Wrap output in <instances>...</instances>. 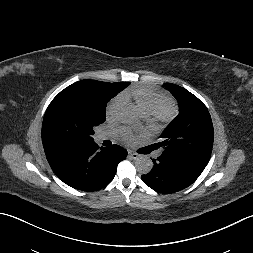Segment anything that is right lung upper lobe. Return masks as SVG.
I'll return each instance as SVG.
<instances>
[{"mask_svg": "<svg viewBox=\"0 0 253 253\" xmlns=\"http://www.w3.org/2000/svg\"><path fill=\"white\" fill-rule=\"evenodd\" d=\"M48 149V147H44V150Z\"/></svg>", "mask_w": 253, "mask_h": 253, "instance_id": "right-lung-upper-lobe-1", "label": "right lung upper lobe"}]
</instances>
